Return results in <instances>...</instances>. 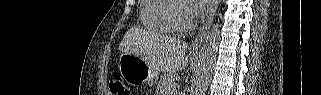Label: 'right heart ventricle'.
<instances>
[{
    "mask_svg": "<svg viewBox=\"0 0 321 95\" xmlns=\"http://www.w3.org/2000/svg\"><path fill=\"white\" fill-rule=\"evenodd\" d=\"M174 2V0H143L140 5L142 24L155 33H172L174 29L169 21V11Z\"/></svg>",
    "mask_w": 321,
    "mask_h": 95,
    "instance_id": "e07e8e85",
    "label": "right heart ventricle"
}]
</instances>
